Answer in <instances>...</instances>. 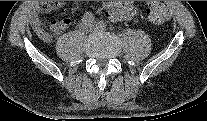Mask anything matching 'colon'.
I'll return each mask as SVG.
<instances>
[{
  "label": "colon",
  "mask_w": 207,
  "mask_h": 121,
  "mask_svg": "<svg viewBox=\"0 0 207 121\" xmlns=\"http://www.w3.org/2000/svg\"><path fill=\"white\" fill-rule=\"evenodd\" d=\"M147 17L155 24H163L170 18V9L167 3L152 1L147 7Z\"/></svg>",
  "instance_id": "1"
}]
</instances>
